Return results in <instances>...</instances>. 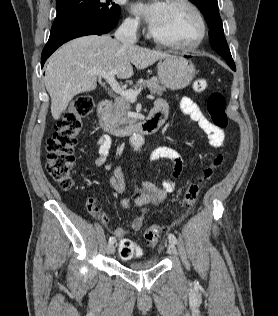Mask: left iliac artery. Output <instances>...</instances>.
Listing matches in <instances>:
<instances>
[{"label": "left iliac artery", "instance_id": "1", "mask_svg": "<svg viewBox=\"0 0 278 316\" xmlns=\"http://www.w3.org/2000/svg\"><path fill=\"white\" fill-rule=\"evenodd\" d=\"M168 239H169V241H170L171 243H173V244H176V243H177V238H176V236H175L174 234H172V233H170V234L168 235Z\"/></svg>", "mask_w": 278, "mask_h": 316}]
</instances>
